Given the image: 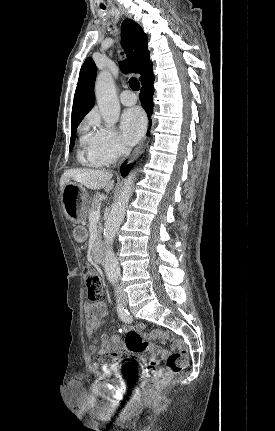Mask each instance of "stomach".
Wrapping results in <instances>:
<instances>
[{
  "instance_id": "0dacf381",
  "label": "stomach",
  "mask_w": 275,
  "mask_h": 431,
  "mask_svg": "<svg viewBox=\"0 0 275 431\" xmlns=\"http://www.w3.org/2000/svg\"><path fill=\"white\" fill-rule=\"evenodd\" d=\"M62 203L67 218L74 224H79L89 209L88 192L82 185L69 182L62 190Z\"/></svg>"
}]
</instances>
